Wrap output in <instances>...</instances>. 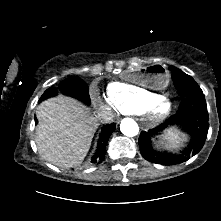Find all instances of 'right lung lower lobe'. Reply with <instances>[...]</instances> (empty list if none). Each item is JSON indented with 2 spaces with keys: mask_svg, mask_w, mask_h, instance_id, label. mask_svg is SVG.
Instances as JSON below:
<instances>
[{
  "mask_svg": "<svg viewBox=\"0 0 221 221\" xmlns=\"http://www.w3.org/2000/svg\"><path fill=\"white\" fill-rule=\"evenodd\" d=\"M35 122H37V120H35ZM114 130H115L114 123L107 124L102 128V132L100 134V139L98 142L97 151L91 160L92 163H100L101 161H103L105 157L107 142L109 140L110 135L113 133Z\"/></svg>",
  "mask_w": 221,
  "mask_h": 221,
  "instance_id": "98d812e1",
  "label": "right lung lower lobe"
}]
</instances>
